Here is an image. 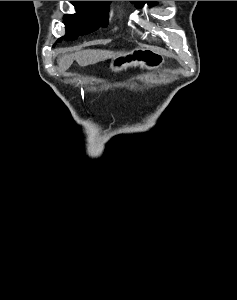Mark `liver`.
Listing matches in <instances>:
<instances>
[{"mask_svg":"<svg viewBox=\"0 0 237 300\" xmlns=\"http://www.w3.org/2000/svg\"><path fill=\"white\" fill-rule=\"evenodd\" d=\"M115 55L114 51H100V49H86V51H77V53H71V55H64L58 61L59 67L62 71H66L71 67L73 61H76L80 67H87V65H95L100 61H106V59H113Z\"/></svg>","mask_w":237,"mask_h":300,"instance_id":"liver-1","label":"liver"}]
</instances>
